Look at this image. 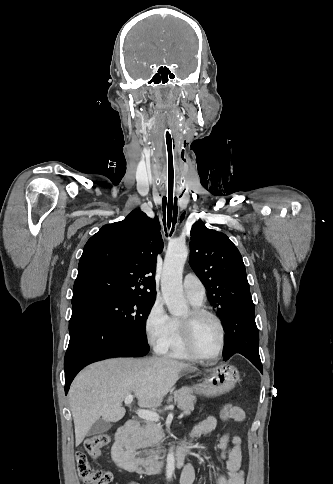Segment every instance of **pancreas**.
Listing matches in <instances>:
<instances>
[{
  "label": "pancreas",
  "mask_w": 333,
  "mask_h": 484,
  "mask_svg": "<svg viewBox=\"0 0 333 484\" xmlns=\"http://www.w3.org/2000/svg\"><path fill=\"white\" fill-rule=\"evenodd\" d=\"M173 398L175 402H177L178 407L183 410L184 415H190L194 410L196 398L189 388L184 387L178 391H175ZM171 401L172 398H169L168 402ZM164 440L165 435L162 426L150 421H146L144 425H142L132 434V441L135 443V445L140 447L159 445Z\"/></svg>",
  "instance_id": "cf45deb5"
}]
</instances>
